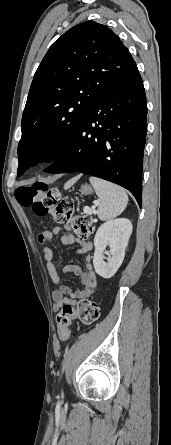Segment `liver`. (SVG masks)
Listing matches in <instances>:
<instances>
[{"mask_svg": "<svg viewBox=\"0 0 171 445\" xmlns=\"http://www.w3.org/2000/svg\"><path fill=\"white\" fill-rule=\"evenodd\" d=\"M73 182H74V181H70V182H68V183L66 184V186H67V187L70 186Z\"/></svg>", "mask_w": 171, "mask_h": 445, "instance_id": "6515ba94", "label": "liver"}]
</instances>
